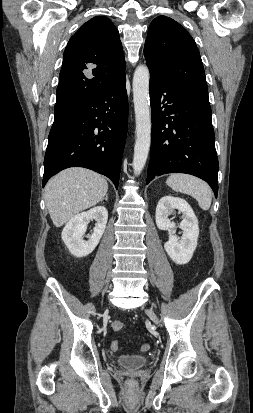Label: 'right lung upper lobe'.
<instances>
[{"label":"right lung upper lobe","instance_id":"right-lung-upper-lobe-1","mask_svg":"<svg viewBox=\"0 0 253 413\" xmlns=\"http://www.w3.org/2000/svg\"><path fill=\"white\" fill-rule=\"evenodd\" d=\"M124 76L125 58L117 28L104 16L90 19L65 48L54 113L103 92Z\"/></svg>","mask_w":253,"mask_h":413}]
</instances>
